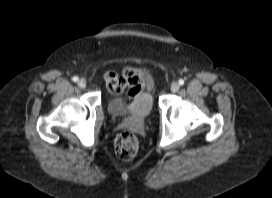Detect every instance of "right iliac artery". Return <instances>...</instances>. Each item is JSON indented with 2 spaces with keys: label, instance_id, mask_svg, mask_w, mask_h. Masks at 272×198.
I'll use <instances>...</instances> for the list:
<instances>
[{
  "label": "right iliac artery",
  "instance_id": "82829eb1",
  "mask_svg": "<svg viewBox=\"0 0 272 198\" xmlns=\"http://www.w3.org/2000/svg\"><path fill=\"white\" fill-rule=\"evenodd\" d=\"M72 80H73L74 82H77V81H78V77H77V76H74V77L72 78Z\"/></svg>",
  "mask_w": 272,
  "mask_h": 198
}]
</instances>
